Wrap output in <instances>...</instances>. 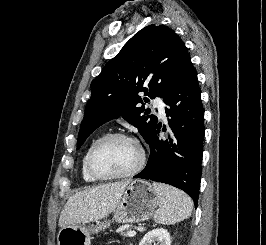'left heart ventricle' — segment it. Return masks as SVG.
I'll list each match as a JSON object with an SVG mask.
<instances>
[{
	"mask_svg": "<svg viewBox=\"0 0 266 245\" xmlns=\"http://www.w3.org/2000/svg\"><path fill=\"white\" fill-rule=\"evenodd\" d=\"M139 159L138 147L127 140L115 138L105 142L94 156L96 169L103 175H122L131 171Z\"/></svg>",
	"mask_w": 266,
	"mask_h": 245,
	"instance_id": "1",
	"label": "left heart ventricle"
}]
</instances>
